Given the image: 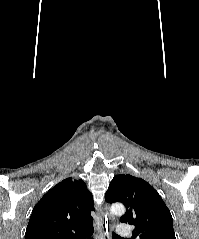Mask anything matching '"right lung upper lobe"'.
<instances>
[{
	"label": "right lung upper lobe",
	"instance_id": "cb5924a9",
	"mask_svg": "<svg viewBox=\"0 0 199 239\" xmlns=\"http://www.w3.org/2000/svg\"><path fill=\"white\" fill-rule=\"evenodd\" d=\"M93 196L82 180L67 178L35 205L25 239H76L93 228Z\"/></svg>",
	"mask_w": 199,
	"mask_h": 239
}]
</instances>
